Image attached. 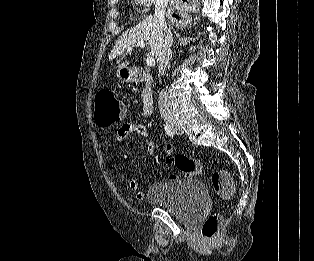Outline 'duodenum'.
Instances as JSON below:
<instances>
[{
  "label": "duodenum",
  "instance_id": "1",
  "mask_svg": "<svg viewBox=\"0 0 314 261\" xmlns=\"http://www.w3.org/2000/svg\"><path fill=\"white\" fill-rule=\"evenodd\" d=\"M131 76L133 82L144 83L148 86L143 97L142 112L145 115H150L154 108V98L151 90L152 77L148 73L139 70L133 71Z\"/></svg>",
  "mask_w": 314,
  "mask_h": 261
}]
</instances>
